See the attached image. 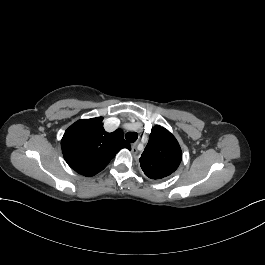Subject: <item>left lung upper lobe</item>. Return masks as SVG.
<instances>
[{"label": "left lung upper lobe", "instance_id": "5c2ea615", "mask_svg": "<svg viewBox=\"0 0 265 265\" xmlns=\"http://www.w3.org/2000/svg\"><path fill=\"white\" fill-rule=\"evenodd\" d=\"M182 160L176 138L164 127L155 125L139 161L144 174L151 179H162L172 174Z\"/></svg>", "mask_w": 265, "mask_h": 265}]
</instances>
